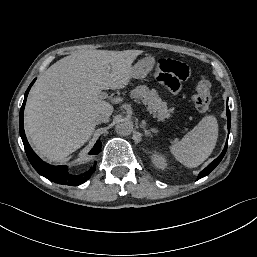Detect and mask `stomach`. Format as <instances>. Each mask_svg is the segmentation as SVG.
Segmentation results:
<instances>
[{"mask_svg":"<svg viewBox=\"0 0 257 257\" xmlns=\"http://www.w3.org/2000/svg\"><path fill=\"white\" fill-rule=\"evenodd\" d=\"M155 65L154 57L148 56L141 60H139L133 67H132V78L134 79H143L147 76L149 72L152 71Z\"/></svg>","mask_w":257,"mask_h":257,"instance_id":"0dacf381","label":"stomach"}]
</instances>
